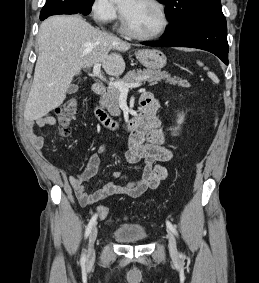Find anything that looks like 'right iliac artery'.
I'll return each mask as SVG.
<instances>
[{
  "mask_svg": "<svg viewBox=\"0 0 259 283\" xmlns=\"http://www.w3.org/2000/svg\"><path fill=\"white\" fill-rule=\"evenodd\" d=\"M96 219H97V214L93 215L92 218L90 219V222L88 223V225L86 227L85 238H87L89 236V234L91 233L92 228L96 224ZM80 261H81L82 264H84L86 262V255H85V253L82 254Z\"/></svg>",
  "mask_w": 259,
  "mask_h": 283,
  "instance_id": "82829eb1",
  "label": "right iliac artery"
}]
</instances>
